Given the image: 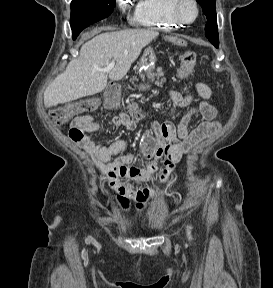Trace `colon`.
I'll list each match as a JSON object with an SVG mask.
<instances>
[{
	"label": "colon",
	"mask_w": 273,
	"mask_h": 288,
	"mask_svg": "<svg viewBox=\"0 0 273 288\" xmlns=\"http://www.w3.org/2000/svg\"><path fill=\"white\" fill-rule=\"evenodd\" d=\"M196 63V55L192 51H186L182 55L181 66L179 68V75L181 77L188 76ZM97 103L94 100H82L68 105H64L55 108L51 111V119L58 125H62L70 122L74 117L83 113L90 112L95 109ZM109 106L114 108L116 103L114 101L109 102ZM131 111H136L137 108L132 106ZM70 134L75 139H80L83 136V131L80 128H72Z\"/></svg>",
	"instance_id": "colon-1"
}]
</instances>
